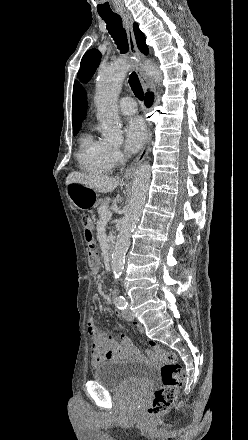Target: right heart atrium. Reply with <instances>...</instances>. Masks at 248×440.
<instances>
[{
  "label": "right heart atrium",
  "mask_w": 248,
  "mask_h": 440,
  "mask_svg": "<svg viewBox=\"0 0 248 440\" xmlns=\"http://www.w3.org/2000/svg\"><path fill=\"white\" fill-rule=\"evenodd\" d=\"M123 158V153L119 148L109 147L108 159L112 166L118 165Z\"/></svg>",
  "instance_id": "right-heart-atrium-1"
}]
</instances>
